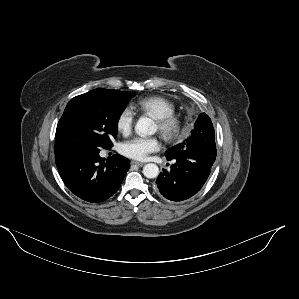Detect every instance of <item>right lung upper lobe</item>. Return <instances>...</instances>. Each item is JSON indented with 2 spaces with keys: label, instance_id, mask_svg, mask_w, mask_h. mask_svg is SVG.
I'll use <instances>...</instances> for the list:
<instances>
[{
  "label": "right lung upper lobe",
  "instance_id": "cb5924a9",
  "mask_svg": "<svg viewBox=\"0 0 299 299\" xmlns=\"http://www.w3.org/2000/svg\"><path fill=\"white\" fill-rule=\"evenodd\" d=\"M95 90H105V89H95Z\"/></svg>",
  "mask_w": 299,
  "mask_h": 299
}]
</instances>
